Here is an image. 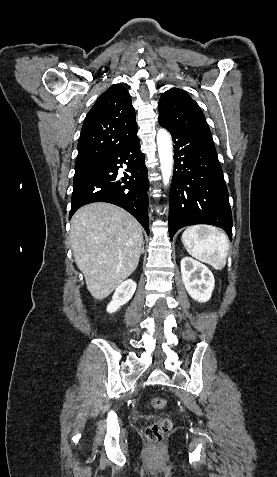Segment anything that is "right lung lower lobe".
Listing matches in <instances>:
<instances>
[{
    "label": "right lung lower lobe",
    "instance_id": "1",
    "mask_svg": "<svg viewBox=\"0 0 277 477\" xmlns=\"http://www.w3.org/2000/svg\"><path fill=\"white\" fill-rule=\"evenodd\" d=\"M127 165L124 177L118 168ZM149 182L144 154L139 138L106 154L98 160L75 170L71 211L93 202H108L131 213L149 234L148 196Z\"/></svg>",
    "mask_w": 277,
    "mask_h": 477
}]
</instances>
